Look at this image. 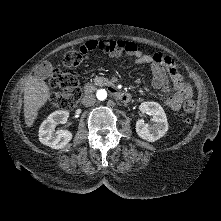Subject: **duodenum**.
I'll use <instances>...</instances> for the list:
<instances>
[{"instance_id":"obj_1","label":"duodenum","mask_w":221,"mask_h":221,"mask_svg":"<svg viewBox=\"0 0 221 221\" xmlns=\"http://www.w3.org/2000/svg\"><path fill=\"white\" fill-rule=\"evenodd\" d=\"M108 89L115 98L123 103H128L132 99L131 94L128 92L120 91L113 86H109ZM93 90L94 86L92 84H87L84 88L85 94H90L91 92H93Z\"/></svg>"}]
</instances>
